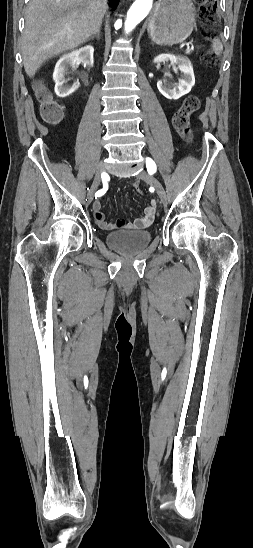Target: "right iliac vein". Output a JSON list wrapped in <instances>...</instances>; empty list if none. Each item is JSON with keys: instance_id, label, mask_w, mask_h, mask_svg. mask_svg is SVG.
<instances>
[{"instance_id": "1", "label": "right iliac vein", "mask_w": 253, "mask_h": 548, "mask_svg": "<svg viewBox=\"0 0 253 548\" xmlns=\"http://www.w3.org/2000/svg\"><path fill=\"white\" fill-rule=\"evenodd\" d=\"M104 173V164L103 163H100L97 167V171H96V175H95V178H94V181L88 191V194H87V199H88V202L91 203L93 198H94V195L101 183V178H102V174Z\"/></svg>"}]
</instances>
